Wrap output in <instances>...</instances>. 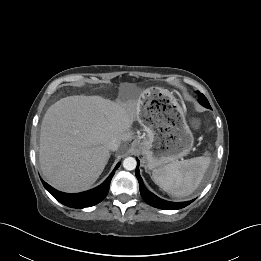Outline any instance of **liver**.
Listing matches in <instances>:
<instances>
[{"label": "liver", "instance_id": "liver-1", "mask_svg": "<svg viewBox=\"0 0 261 261\" xmlns=\"http://www.w3.org/2000/svg\"><path fill=\"white\" fill-rule=\"evenodd\" d=\"M139 104V99L122 103L77 95L51 105L42 120L39 149L47 182L71 193L90 188L110 157L108 142L132 139Z\"/></svg>", "mask_w": 261, "mask_h": 261}]
</instances>
